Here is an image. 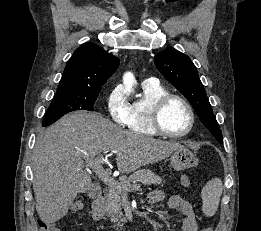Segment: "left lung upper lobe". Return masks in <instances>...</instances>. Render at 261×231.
<instances>
[{"label": "left lung upper lobe", "mask_w": 261, "mask_h": 231, "mask_svg": "<svg viewBox=\"0 0 261 231\" xmlns=\"http://www.w3.org/2000/svg\"><path fill=\"white\" fill-rule=\"evenodd\" d=\"M157 69L191 103L201 122L215 138L223 143L222 133L212 112L203 84L190 58L174 48H168L154 57Z\"/></svg>", "instance_id": "5c2ea615"}]
</instances>
